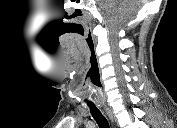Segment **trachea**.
Here are the masks:
<instances>
[{
    "label": "trachea",
    "mask_w": 177,
    "mask_h": 128,
    "mask_svg": "<svg viewBox=\"0 0 177 128\" xmlns=\"http://www.w3.org/2000/svg\"><path fill=\"white\" fill-rule=\"evenodd\" d=\"M90 112L93 118L96 120L99 128H110L107 119L101 114L97 107L90 105Z\"/></svg>",
    "instance_id": "3493384b"
}]
</instances>
